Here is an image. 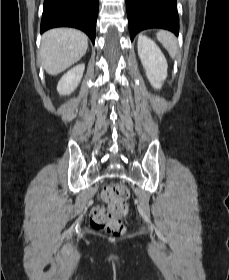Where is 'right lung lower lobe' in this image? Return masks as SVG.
<instances>
[{
    "label": "right lung lower lobe",
    "mask_w": 229,
    "mask_h": 280,
    "mask_svg": "<svg viewBox=\"0 0 229 280\" xmlns=\"http://www.w3.org/2000/svg\"><path fill=\"white\" fill-rule=\"evenodd\" d=\"M99 0H44L41 33L54 27H73L84 31L92 43Z\"/></svg>",
    "instance_id": "obj_1"
}]
</instances>
